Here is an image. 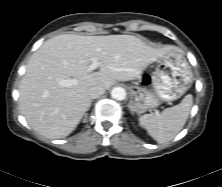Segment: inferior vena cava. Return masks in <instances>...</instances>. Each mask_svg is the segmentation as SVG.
Segmentation results:
<instances>
[{
	"label": "inferior vena cava",
	"instance_id": "602c4592",
	"mask_svg": "<svg viewBox=\"0 0 222 187\" xmlns=\"http://www.w3.org/2000/svg\"><path fill=\"white\" fill-rule=\"evenodd\" d=\"M105 89L102 86H93L89 88L88 95L91 99H96L100 97L102 94H104Z\"/></svg>",
	"mask_w": 222,
	"mask_h": 187
}]
</instances>
